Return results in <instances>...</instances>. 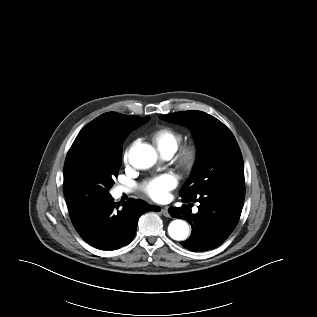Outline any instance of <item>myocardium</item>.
<instances>
[{"label":"myocardium","mask_w":317,"mask_h":317,"mask_svg":"<svg viewBox=\"0 0 317 317\" xmlns=\"http://www.w3.org/2000/svg\"><path fill=\"white\" fill-rule=\"evenodd\" d=\"M199 158V146L189 142L176 150L175 163L184 172H190L196 166Z\"/></svg>","instance_id":"f54148a6"}]
</instances>
